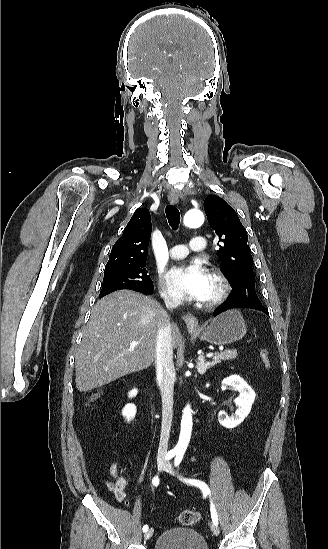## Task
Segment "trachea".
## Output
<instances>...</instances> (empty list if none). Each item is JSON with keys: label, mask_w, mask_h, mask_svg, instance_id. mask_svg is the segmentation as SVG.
Segmentation results:
<instances>
[{"label": "trachea", "mask_w": 328, "mask_h": 549, "mask_svg": "<svg viewBox=\"0 0 328 549\" xmlns=\"http://www.w3.org/2000/svg\"><path fill=\"white\" fill-rule=\"evenodd\" d=\"M165 213L170 227L173 230H177L180 223V213L177 207L174 205H167Z\"/></svg>", "instance_id": "obj_1"}]
</instances>
